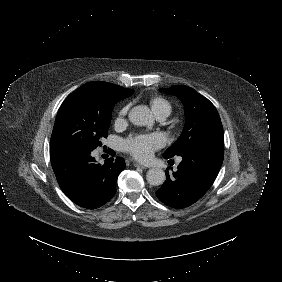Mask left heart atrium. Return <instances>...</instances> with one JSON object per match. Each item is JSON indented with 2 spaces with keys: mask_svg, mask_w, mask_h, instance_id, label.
<instances>
[{
  "mask_svg": "<svg viewBox=\"0 0 282 282\" xmlns=\"http://www.w3.org/2000/svg\"><path fill=\"white\" fill-rule=\"evenodd\" d=\"M124 146L136 159L147 161L151 158L153 150L161 146V139L157 135L141 136L125 141Z\"/></svg>",
  "mask_w": 282,
  "mask_h": 282,
  "instance_id": "1",
  "label": "left heart atrium"
}]
</instances>
